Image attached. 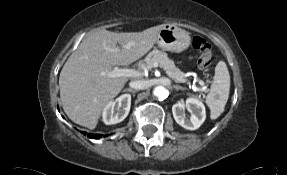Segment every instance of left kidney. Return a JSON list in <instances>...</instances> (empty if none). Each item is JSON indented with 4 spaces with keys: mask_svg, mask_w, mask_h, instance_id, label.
<instances>
[{
    "mask_svg": "<svg viewBox=\"0 0 287 175\" xmlns=\"http://www.w3.org/2000/svg\"><path fill=\"white\" fill-rule=\"evenodd\" d=\"M185 108L191 113L190 119L185 117ZM172 113L175 121L185 129L196 130L205 121L206 111L204 104L194 98L190 97L185 104L176 103L172 106Z\"/></svg>",
    "mask_w": 287,
    "mask_h": 175,
    "instance_id": "left-kidney-1",
    "label": "left kidney"
}]
</instances>
